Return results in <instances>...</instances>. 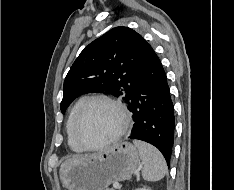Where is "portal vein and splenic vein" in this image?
<instances>
[{
	"instance_id": "portal-vein-and-splenic-vein-1",
	"label": "portal vein and splenic vein",
	"mask_w": 234,
	"mask_h": 190,
	"mask_svg": "<svg viewBox=\"0 0 234 190\" xmlns=\"http://www.w3.org/2000/svg\"><path fill=\"white\" fill-rule=\"evenodd\" d=\"M113 187H114L115 189H119V188H120V185H119L118 183H114V184H113Z\"/></svg>"
}]
</instances>
